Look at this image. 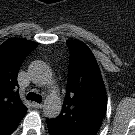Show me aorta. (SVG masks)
<instances>
[{"mask_svg":"<svg viewBox=\"0 0 135 135\" xmlns=\"http://www.w3.org/2000/svg\"><path fill=\"white\" fill-rule=\"evenodd\" d=\"M29 71L32 80L37 84H48L51 80V72L48 66L41 61L33 62ZM43 112L47 118H56L61 112L60 101L52 97L47 98L43 105Z\"/></svg>","mask_w":135,"mask_h":135,"instance_id":"1","label":"aorta"}]
</instances>
